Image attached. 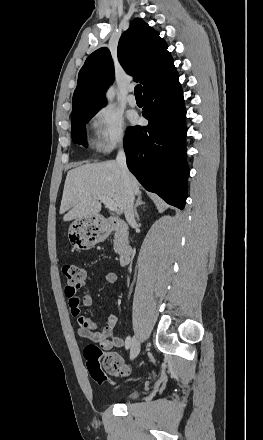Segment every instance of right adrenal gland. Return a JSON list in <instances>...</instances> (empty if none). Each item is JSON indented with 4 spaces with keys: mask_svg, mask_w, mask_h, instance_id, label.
Segmentation results:
<instances>
[{
    "mask_svg": "<svg viewBox=\"0 0 263 440\" xmlns=\"http://www.w3.org/2000/svg\"><path fill=\"white\" fill-rule=\"evenodd\" d=\"M140 205H145V202L142 201V195L138 194L137 195V199H136V203H135V206H134V215H135V217L137 219H139V215L137 213V207L140 206Z\"/></svg>",
    "mask_w": 263,
    "mask_h": 440,
    "instance_id": "right-adrenal-gland-1",
    "label": "right adrenal gland"
}]
</instances>
